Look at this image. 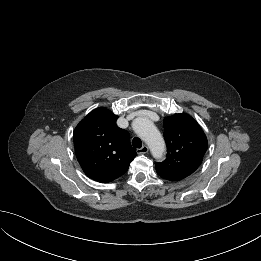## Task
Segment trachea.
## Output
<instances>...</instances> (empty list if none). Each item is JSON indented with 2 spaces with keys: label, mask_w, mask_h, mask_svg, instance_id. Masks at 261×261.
Masks as SVG:
<instances>
[{
  "label": "trachea",
  "mask_w": 261,
  "mask_h": 261,
  "mask_svg": "<svg viewBox=\"0 0 261 261\" xmlns=\"http://www.w3.org/2000/svg\"><path fill=\"white\" fill-rule=\"evenodd\" d=\"M132 145L136 148H141L142 147V141L138 137H135L132 140Z\"/></svg>",
  "instance_id": "trachea-1"
}]
</instances>
